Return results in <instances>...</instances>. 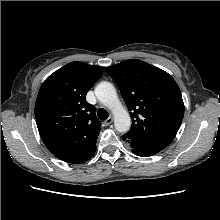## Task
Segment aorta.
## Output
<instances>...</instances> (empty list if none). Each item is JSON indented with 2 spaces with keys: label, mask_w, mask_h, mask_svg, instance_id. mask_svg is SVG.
<instances>
[{
  "label": "aorta",
  "mask_w": 220,
  "mask_h": 220,
  "mask_svg": "<svg viewBox=\"0 0 220 220\" xmlns=\"http://www.w3.org/2000/svg\"><path fill=\"white\" fill-rule=\"evenodd\" d=\"M95 95L103 105L112 111L115 129L120 133L129 131L131 118L119 100L115 87L110 82H101L95 88Z\"/></svg>",
  "instance_id": "1"
}]
</instances>
